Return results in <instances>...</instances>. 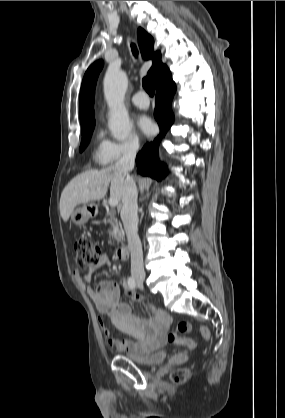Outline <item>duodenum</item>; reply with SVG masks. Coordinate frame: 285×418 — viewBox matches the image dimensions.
<instances>
[{"label": "duodenum", "instance_id": "410a0bca", "mask_svg": "<svg viewBox=\"0 0 285 418\" xmlns=\"http://www.w3.org/2000/svg\"><path fill=\"white\" fill-rule=\"evenodd\" d=\"M116 254L118 259L126 260L130 255V249L127 245H122L117 248Z\"/></svg>", "mask_w": 285, "mask_h": 418}]
</instances>
